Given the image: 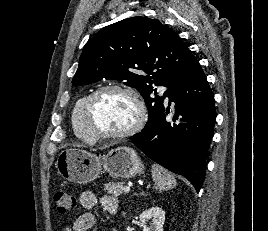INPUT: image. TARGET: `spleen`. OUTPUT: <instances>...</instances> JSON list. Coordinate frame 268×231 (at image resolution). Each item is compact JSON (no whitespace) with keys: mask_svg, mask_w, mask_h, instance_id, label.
<instances>
[{"mask_svg":"<svg viewBox=\"0 0 268 231\" xmlns=\"http://www.w3.org/2000/svg\"><path fill=\"white\" fill-rule=\"evenodd\" d=\"M151 172L155 186L160 191L169 190L176 185L174 176L162 166L153 164Z\"/></svg>","mask_w":268,"mask_h":231,"instance_id":"1","label":"spleen"}]
</instances>
